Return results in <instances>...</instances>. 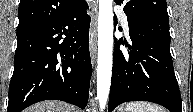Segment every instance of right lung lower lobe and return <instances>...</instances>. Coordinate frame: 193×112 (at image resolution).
Instances as JSON below:
<instances>
[{
    "label": "right lung lower lobe",
    "mask_w": 193,
    "mask_h": 112,
    "mask_svg": "<svg viewBox=\"0 0 193 112\" xmlns=\"http://www.w3.org/2000/svg\"><path fill=\"white\" fill-rule=\"evenodd\" d=\"M87 8L83 0L65 14L17 35L8 112L51 99L86 107L92 74Z\"/></svg>",
    "instance_id": "obj_1"
}]
</instances>
